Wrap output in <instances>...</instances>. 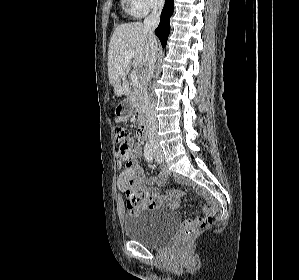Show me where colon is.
Masks as SVG:
<instances>
[{
  "label": "colon",
  "instance_id": "1",
  "mask_svg": "<svg viewBox=\"0 0 299 280\" xmlns=\"http://www.w3.org/2000/svg\"><path fill=\"white\" fill-rule=\"evenodd\" d=\"M115 140L117 144V155L120 163L125 167L130 166L129 160V132L123 127H117L115 129ZM131 197V196H129ZM133 201V199L131 198ZM130 209L134 210L135 207L133 204L130 205ZM216 219V213L214 212L207 218L203 219L201 222L195 225L186 226L182 238L184 241L188 240L193 236L199 229L204 228L212 224Z\"/></svg>",
  "mask_w": 299,
  "mask_h": 280
}]
</instances>
